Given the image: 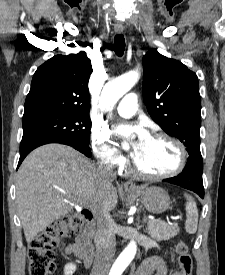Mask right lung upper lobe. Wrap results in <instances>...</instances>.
<instances>
[{
	"label": "right lung upper lobe",
	"mask_w": 225,
	"mask_h": 275,
	"mask_svg": "<svg viewBox=\"0 0 225 275\" xmlns=\"http://www.w3.org/2000/svg\"><path fill=\"white\" fill-rule=\"evenodd\" d=\"M85 52L57 55L36 70L24 105V115L43 112H87L92 73Z\"/></svg>",
	"instance_id": "1"
}]
</instances>
